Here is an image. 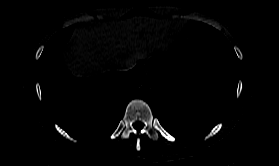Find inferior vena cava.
<instances>
[{"mask_svg":"<svg viewBox=\"0 0 279 166\" xmlns=\"http://www.w3.org/2000/svg\"><path fill=\"white\" fill-rule=\"evenodd\" d=\"M135 65H136L135 62L126 63V64H124V66H123V70H129V69L133 68Z\"/></svg>","mask_w":279,"mask_h":166,"instance_id":"inferior-vena-cava-1","label":"inferior vena cava"}]
</instances>
